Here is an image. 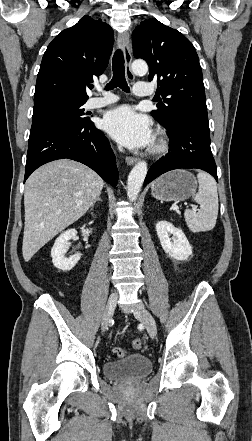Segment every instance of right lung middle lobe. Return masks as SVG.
<instances>
[{
  "instance_id": "1",
  "label": "right lung middle lobe",
  "mask_w": 252,
  "mask_h": 441,
  "mask_svg": "<svg viewBox=\"0 0 252 441\" xmlns=\"http://www.w3.org/2000/svg\"><path fill=\"white\" fill-rule=\"evenodd\" d=\"M86 100L51 99L34 104L32 124L40 121H61L70 124L87 122L82 106Z\"/></svg>"
}]
</instances>
